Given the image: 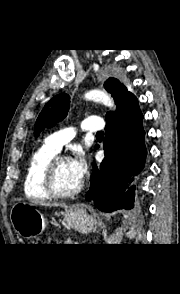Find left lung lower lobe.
Returning a JSON list of instances; mask_svg holds the SVG:
<instances>
[{
  "label": "left lung lower lobe",
  "instance_id": "left-lung-lower-lobe-1",
  "mask_svg": "<svg viewBox=\"0 0 180 294\" xmlns=\"http://www.w3.org/2000/svg\"><path fill=\"white\" fill-rule=\"evenodd\" d=\"M142 120L136 96L129 98L113 117L106 120L105 158L99 169L94 166L86 195V199H93L101 211L134 207L135 176L144 168L147 154Z\"/></svg>",
  "mask_w": 180,
  "mask_h": 294
}]
</instances>
